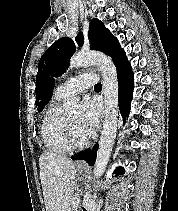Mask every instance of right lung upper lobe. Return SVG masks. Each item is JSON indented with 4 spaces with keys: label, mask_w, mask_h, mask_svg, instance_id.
I'll return each instance as SVG.
<instances>
[{
    "label": "right lung upper lobe",
    "mask_w": 178,
    "mask_h": 211,
    "mask_svg": "<svg viewBox=\"0 0 178 211\" xmlns=\"http://www.w3.org/2000/svg\"><path fill=\"white\" fill-rule=\"evenodd\" d=\"M54 82L52 80H48L44 85L41 93H40V102H38V111H41L45 104L49 102L51 99V94L53 92Z\"/></svg>",
    "instance_id": "obj_1"
}]
</instances>
